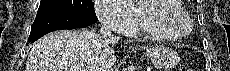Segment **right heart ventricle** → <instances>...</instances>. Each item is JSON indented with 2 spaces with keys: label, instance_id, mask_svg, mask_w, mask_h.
<instances>
[{
  "label": "right heart ventricle",
  "instance_id": "e07e8e85",
  "mask_svg": "<svg viewBox=\"0 0 230 71\" xmlns=\"http://www.w3.org/2000/svg\"><path fill=\"white\" fill-rule=\"evenodd\" d=\"M181 6V4H179ZM133 13L135 14V17H137L138 21V27L135 26L134 30H128L127 34L133 35L138 33H143L151 37L155 38H163L159 35H157L151 28L148 27V25L143 20V12L140 8H133Z\"/></svg>",
  "mask_w": 230,
  "mask_h": 71
}]
</instances>
